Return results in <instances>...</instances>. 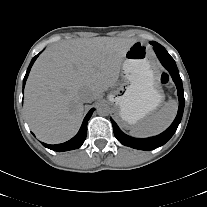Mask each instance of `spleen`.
Segmentation results:
<instances>
[{"label": "spleen", "mask_w": 207, "mask_h": 207, "mask_svg": "<svg viewBox=\"0 0 207 207\" xmlns=\"http://www.w3.org/2000/svg\"><path fill=\"white\" fill-rule=\"evenodd\" d=\"M177 109V101L170 100L159 111L132 126L130 134L143 138L163 132L173 122Z\"/></svg>", "instance_id": "obj_1"}]
</instances>
